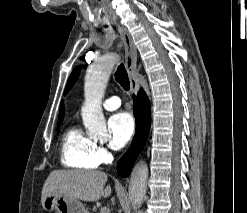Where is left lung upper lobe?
I'll return each instance as SVG.
<instances>
[{
  "label": "left lung upper lobe",
  "mask_w": 247,
  "mask_h": 213,
  "mask_svg": "<svg viewBox=\"0 0 247 213\" xmlns=\"http://www.w3.org/2000/svg\"><path fill=\"white\" fill-rule=\"evenodd\" d=\"M80 70H81L80 67H76V68L72 71V73H71V75H70V77H69V80H68V83H67V86H66V89H65L64 94H66V93L70 90V88L73 86L75 80H76V79L78 78V76H79Z\"/></svg>",
  "instance_id": "1"
}]
</instances>
